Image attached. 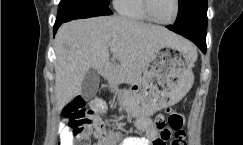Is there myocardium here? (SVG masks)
<instances>
[{"mask_svg":"<svg viewBox=\"0 0 243 145\" xmlns=\"http://www.w3.org/2000/svg\"><path fill=\"white\" fill-rule=\"evenodd\" d=\"M151 0H142V6H143V10L146 14V16L149 18L150 21L154 22V23H157V24H160V25H165V26H169V25H172L176 22L177 18H178V15H179V10H180V3H179V0H174V3H175V12H174V16L173 18L168 21V22H162V21H159L157 20L153 14H152V11H151Z\"/></svg>","mask_w":243,"mask_h":145,"instance_id":"f54148a6","label":"myocardium"}]
</instances>
